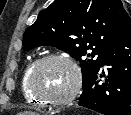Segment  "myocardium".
I'll return each instance as SVG.
<instances>
[{
    "label": "myocardium",
    "instance_id": "f54148a6",
    "mask_svg": "<svg viewBox=\"0 0 131 115\" xmlns=\"http://www.w3.org/2000/svg\"><path fill=\"white\" fill-rule=\"evenodd\" d=\"M53 60H61L66 62L71 67L74 73V84L72 89L64 97L57 98V99L50 98L49 96L41 93L36 87V77L39 70L42 68L43 65ZM81 87H82V73L79 65L73 58L62 53L49 54L40 58L35 63L29 75V89L31 93L36 98H38L43 104L50 105L53 107H62L70 103L79 94Z\"/></svg>",
    "mask_w": 131,
    "mask_h": 115
}]
</instances>
